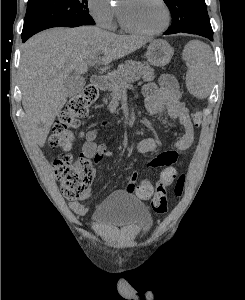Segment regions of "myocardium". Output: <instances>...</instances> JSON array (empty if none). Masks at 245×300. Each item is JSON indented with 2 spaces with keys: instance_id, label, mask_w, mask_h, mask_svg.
Masks as SVG:
<instances>
[{
  "instance_id": "myocardium-1",
  "label": "myocardium",
  "mask_w": 245,
  "mask_h": 300,
  "mask_svg": "<svg viewBox=\"0 0 245 300\" xmlns=\"http://www.w3.org/2000/svg\"><path fill=\"white\" fill-rule=\"evenodd\" d=\"M160 2V4L162 5L164 11H165V16H166V20L165 23L162 27L155 29V30H144L141 29L133 24H131L125 14L124 11L122 9V7H120L119 9V21L121 26L126 30L129 31L131 33H135V34H140V35H145V36H155L158 35L162 32H164L170 25L171 22V11L170 8L167 4V2L165 0H158Z\"/></svg>"
}]
</instances>
